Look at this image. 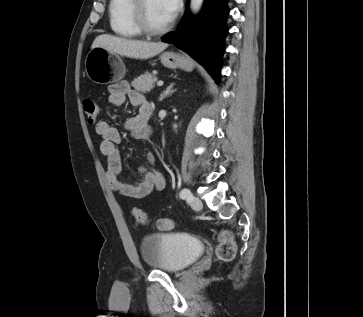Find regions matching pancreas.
<instances>
[{"mask_svg":"<svg viewBox=\"0 0 363 317\" xmlns=\"http://www.w3.org/2000/svg\"><path fill=\"white\" fill-rule=\"evenodd\" d=\"M156 81L157 78L147 72L140 75L138 78H135L131 82V85L135 88V90L145 93L151 91L154 88Z\"/></svg>","mask_w":363,"mask_h":317,"instance_id":"1","label":"pancreas"}]
</instances>
